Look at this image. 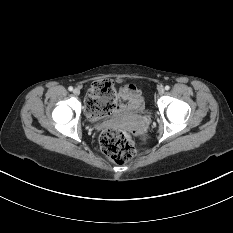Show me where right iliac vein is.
Here are the masks:
<instances>
[{
	"label": "right iliac vein",
	"mask_w": 233,
	"mask_h": 233,
	"mask_svg": "<svg viewBox=\"0 0 233 233\" xmlns=\"http://www.w3.org/2000/svg\"><path fill=\"white\" fill-rule=\"evenodd\" d=\"M74 95L78 96L80 94V90L78 88H75L73 90Z\"/></svg>",
	"instance_id": "obj_1"
}]
</instances>
